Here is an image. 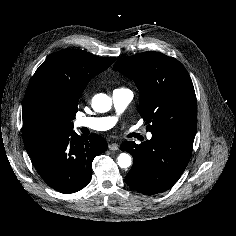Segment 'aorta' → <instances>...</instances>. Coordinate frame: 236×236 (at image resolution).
Instances as JSON below:
<instances>
[{
	"mask_svg": "<svg viewBox=\"0 0 236 236\" xmlns=\"http://www.w3.org/2000/svg\"><path fill=\"white\" fill-rule=\"evenodd\" d=\"M111 106H112V101L110 97H108L105 94L96 95L92 101V107L96 112L100 113L107 112L111 109ZM117 163L121 168H128L132 163L131 156L127 153H121L118 156Z\"/></svg>",
	"mask_w": 236,
	"mask_h": 236,
	"instance_id": "aorta-1",
	"label": "aorta"
}]
</instances>
